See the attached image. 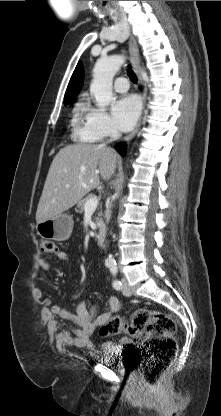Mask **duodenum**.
<instances>
[{"label":"duodenum","mask_w":221,"mask_h":416,"mask_svg":"<svg viewBox=\"0 0 221 416\" xmlns=\"http://www.w3.org/2000/svg\"><path fill=\"white\" fill-rule=\"evenodd\" d=\"M106 237V226L104 224H99L97 228L96 239L99 244H102Z\"/></svg>","instance_id":"410a0bca"}]
</instances>
